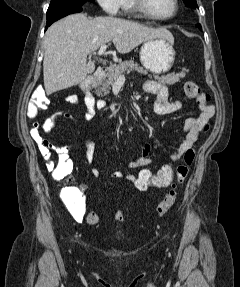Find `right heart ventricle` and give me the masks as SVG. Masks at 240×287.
I'll return each instance as SVG.
<instances>
[{
    "mask_svg": "<svg viewBox=\"0 0 240 287\" xmlns=\"http://www.w3.org/2000/svg\"><path fill=\"white\" fill-rule=\"evenodd\" d=\"M121 9L125 15H129V16L138 15V11L136 9L134 0H123Z\"/></svg>",
    "mask_w": 240,
    "mask_h": 287,
    "instance_id": "obj_1",
    "label": "right heart ventricle"
}]
</instances>
